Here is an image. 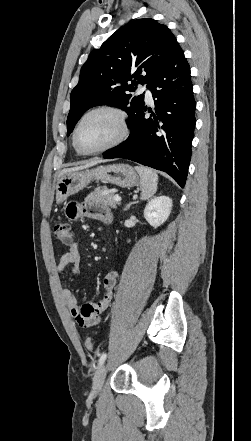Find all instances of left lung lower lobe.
Returning <instances> with one entry per match:
<instances>
[{
  "mask_svg": "<svg viewBox=\"0 0 251 441\" xmlns=\"http://www.w3.org/2000/svg\"><path fill=\"white\" fill-rule=\"evenodd\" d=\"M147 87L154 99L155 113L145 118L147 107H141L128 124V139L108 150L103 158H126L164 171L184 187L196 124V102L190 67L178 44Z\"/></svg>",
  "mask_w": 251,
  "mask_h": 441,
  "instance_id": "1",
  "label": "left lung lower lobe"
}]
</instances>
